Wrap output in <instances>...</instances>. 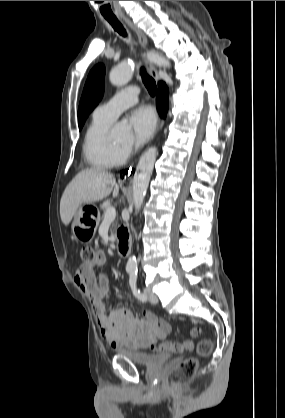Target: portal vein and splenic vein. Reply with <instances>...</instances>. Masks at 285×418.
Here are the masks:
<instances>
[{"instance_id":"18ae733b","label":"portal vein and splenic vein","mask_w":285,"mask_h":418,"mask_svg":"<svg viewBox=\"0 0 285 418\" xmlns=\"http://www.w3.org/2000/svg\"><path fill=\"white\" fill-rule=\"evenodd\" d=\"M116 210L114 207H109L104 215V222H112L115 220Z\"/></svg>"}]
</instances>
